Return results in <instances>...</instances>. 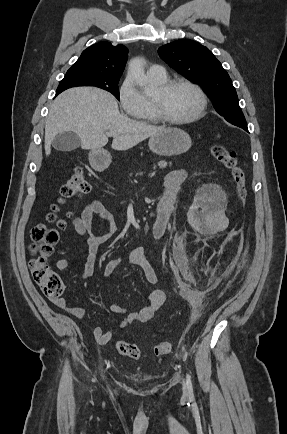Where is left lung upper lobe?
<instances>
[{"label": "left lung upper lobe", "instance_id": "obj_1", "mask_svg": "<svg viewBox=\"0 0 287 434\" xmlns=\"http://www.w3.org/2000/svg\"><path fill=\"white\" fill-rule=\"evenodd\" d=\"M158 54L178 73L200 84L217 112L228 122H246L228 73L208 48L182 39L163 45Z\"/></svg>", "mask_w": 287, "mask_h": 434}]
</instances>
